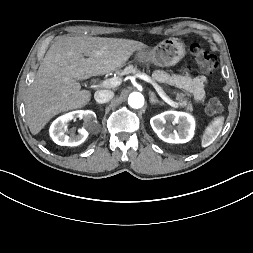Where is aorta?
Here are the masks:
<instances>
[{
	"mask_svg": "<svg viewBox=\"0 0 253 253\" xmlns=\"http://www.w3.org/2000/svg\"><path fill=\"white\" fill-rule=\"evenodd\" d=\"M128 104L135 109H139L144 105V97L139 92H133L128 97Z\"/></svg>",
	"mask_w": 253,
	"mask_h": 253,
	"instance_id": "762f6f07",
	"label": "aorta"
}]
</instances>
